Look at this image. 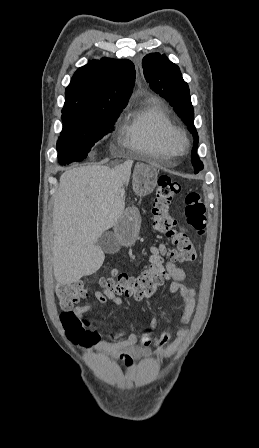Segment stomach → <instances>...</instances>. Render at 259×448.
Masks as SVG:
<instances>
[{
    "label": "stomach",
    "instance_id": "0dacf381",
    "mask_svg": "<svg viewBox=\"0 0 259 448\" xmlns=\"http://www.w3.org/2000/svg\"><path fill=\"white\" fill-rule=\"evenodd\" d=\"M142 214L137 206H126L115 228V236L122 246H131L138 238Z\"/></svg>",
    "mask_w": 259,
    "mask_h": 448
}]
</instances>
